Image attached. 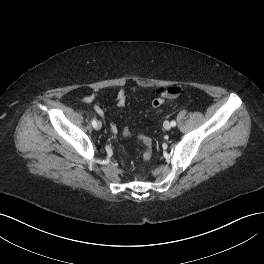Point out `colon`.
Instances as JSON below:
<instances>
[{
    "mask_svg": "<svg viewBox=\"0 0 264 264\" xmlns=\"http://www.w3.org/2000/svg\"><path fill=\"white\" fill-rule=\"evenodd\" d=\"M165 99L162 97H156L152 101V105L154 107H159L164 103ZM124 135H129V131L127 128L124 129L123 131ZM139 139L142 141L144 150L142 153V161L144 163L148 162L151 159L152 152H153V140L149 136H140Z\"/></svg>",
    "mask_w": 264,
    "mask_h": 264,
    "instance_id": "1",
    "label": "colon"
}]
</instances>
